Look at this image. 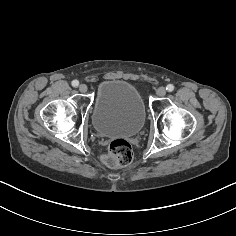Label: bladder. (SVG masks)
<instances>
[{"label": "bladder", "instance_id": "bladder-1", "mask_svg": "<svg viewBox=\"0 0 236 236\" xmlns=\"http://www.w3.org/2000/svg\"><path fill=\"white\" fill-rule=\"evenodd\" d=\"M145 105L140 92L121 80L97 86L92 122L103 136H135L145 124Z\"/></svg>", "mask_w": 236, "mask_h": 236}]
</instances>
